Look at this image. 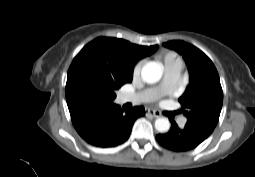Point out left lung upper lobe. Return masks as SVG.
<instances>
[{"label":"left lung upper lobe","instance_id":"left-lung-upper-lobe-1","mask_svg":"<svg viewBox=\"0 0 255 177\" xmlns=\"http://www.w3.org/2000/svg\"><path fill=\"white\" fill-rule=\"evenodd\" d=\"M163 46L181 54L189 70L190 82L179 98L187 124L212 133L223 103V91L214 64L201 50L184 41H169Z\"/></svg>","mask_w":255,"mask_h":177}]
</instances>
